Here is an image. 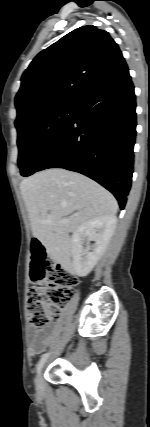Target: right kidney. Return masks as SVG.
<instances>
[{"label":"right kidney","instance_id":"right-kidney-1","mask_svg":"<svg viewBox=\"0 0 150 427\" xmlns=\"http://www.w3.org/2000/svg\"><path fill=\"white\" fill-rule=\"evenodd\" d=\"M116 216L89 220L80 225L71 238L72 270L80 276H87L102 257L116 228ZM94 241L91 248L84 247V241Z\"/></svg>","mask_w":150,"mask_h":427}]
</instances>
